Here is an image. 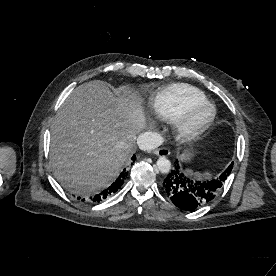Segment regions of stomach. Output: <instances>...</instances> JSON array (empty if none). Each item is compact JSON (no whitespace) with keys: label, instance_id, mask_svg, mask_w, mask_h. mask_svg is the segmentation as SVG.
<instances>
[{"label":"stomach","instance_id":"1","mask_svg":"<svg viewBox=\"0 0 276 276\" xmlns=\"http://www.w3.org/2000/svg\"><path fill=\"white\" fill-rule=\"evenodd\" d=\"M190 154L189 153H183L182 155H181V159L182 160H188V159H190Z\"/></svg>","mask_w":276,"mask_h":276}]
</instances>
